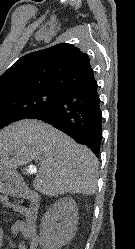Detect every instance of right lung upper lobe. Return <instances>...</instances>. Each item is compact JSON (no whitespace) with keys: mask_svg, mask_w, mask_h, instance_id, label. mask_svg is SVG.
Returning <instances> with one entry per match:
<instances>
[{"mask_svg":"<svg viewBox=\"0 0 135 249\" xmlns=\"http://www.w3.org/2000/svg\"><path fill=\"white\" fill-rule=\"evenodd\" d=\"M89 56L61 43L21 57L0 76V96L33 91L66 92L94 80Z\"/></svg>","mask_w":135,"mask_h":249,"instance_id":"obj_1","label":"right lung upper lobe"}]
</instances>
